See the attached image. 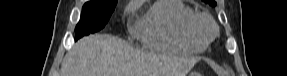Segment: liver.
<instances>
[{
    "label": "liver",
    "mask_w": 287,
    "mask_h": 76,
    "mask_svg": "<svg viewBox=\"0 0 287 76\" xmlns=\"http://www.w3.org/2000/svg\"><path fill=\"white\" fill-rule=\"evenodd\" d=\"M197 58L140 52L111 35L83 37L66 53L61 76H185Z\"/></svg>",
    "instance_id": "1"
}]
</instances>
